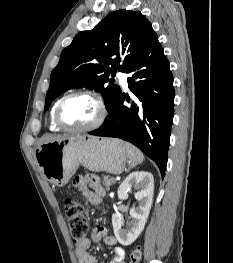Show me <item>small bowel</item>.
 <instances>
[{"label": "small bowel", "mask_w": 233, "mask_h": 263, "mask_svg": "<svg viewBox=\"0 0 233 263\" xmlns=\"http://www.w3.org/2000/svg\"><path fill=\"white\" fill-rule=\"evenodd\" d=\"M74 186L80 190L85 200L93 206H99L104 196V189L96 175L78 176L74 179ZM103 241L112 248L114 254L109 263H126L125 250L117 245V239L110 236L105 227L99 226L92 232L91 239L84 238L75 244V253L79 263H98V259L89 252L92 243Z\"/></svg>", "instance_id": "small-bowel-1"}]
</instances>
